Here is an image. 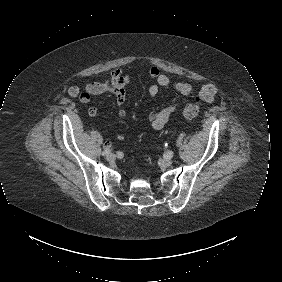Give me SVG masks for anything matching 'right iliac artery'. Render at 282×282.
Returning <instances> with one entry per match:
<instances>
[{"label": "right iliac artery", "instance_id": "1", "mask_svg": "<svg viewBox=\"0 0 282 282\" xmlns=\"http://www.w3.org/2000/svg\"><path fill=\"white\" fill-rule=\"evenodd\" d=\"M110 149L109 148H106L103 152H102V155H107L110 153Z\"/></svg>", "mask_w": 282, "mask_h": 282}]
</instances>
